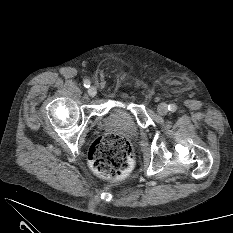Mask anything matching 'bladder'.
Segmentation results:
<instances>
[{
	"instance_id": "obj_1",
	"label": "bladder",
	"mask_w": 233,
	"mask_h": 233,
	"mask_svg": "<svg viewBox=\"0 0 233 233\" xmlns=\"http://www.w3.org/2000/svg\"><path fill=\"white\" fill-rule=\"evenodd\" d=\"M135 132H136V125H133L131 129V134H134Z\"/></svg>"
}]
</instances>
